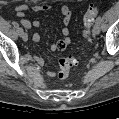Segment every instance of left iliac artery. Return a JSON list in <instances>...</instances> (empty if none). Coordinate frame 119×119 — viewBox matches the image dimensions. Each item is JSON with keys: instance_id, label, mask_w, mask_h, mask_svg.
<instances>
[{"instance_id": "1", "label": "left iliac artery", "mask_w": 119, "mask_h": 119, "mask_svg": "<svg viewBox=\"0 0 119 119\" xmlns=\"http://www.w3.org/2000/svg\"><path fill=\"white\" fill-rule=\"evenodd\" d=\"M101 21H102V18H101V16L97 17V19H96V22H99V23H101Z\"/></svg>"}]
</instances>
